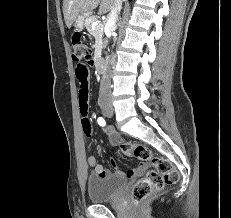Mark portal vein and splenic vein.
Returning <instances> with one entry per match:
<instances>
[{
    "mask_svg": "<svg viewBox=\"0 0 231 218\" xmlns=\"http://www.w3.org/2000/svg\"><path fill=\"white\" fill-rule=\"evenodd\" d=\"M99 24H100L99 21H94V22L92 23V28H96Z\"/></svg>",
    "mask_w": 231,
    "mask_h": 218,
    "instance_id": "18ae733b",
    "label": "portal vein and splenic vein"
}]
</instances>
